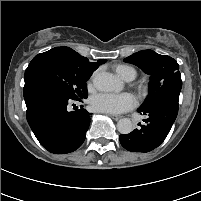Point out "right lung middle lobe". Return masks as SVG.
Listing matches in <instances>:
<instances>
[{
	"instance_id": "obj_1",
	"label": "right lung middle lobe",
	"mask_w": 201,
	"mask_h": 201,
	"mask_svg": "<svg viewBox=\"0 0 201 201\" xmlns=\"http://www.w3.org/2000/svg\"><path fill=\"white\" fill-rule=\"evenodd\" d=\"M89 78L88 75L73 68L64 52L57 48L36 55L25 71V81L31 79L46 81L77 101L87 98L86 82Z\"/></svg>"
}]
</instances>
